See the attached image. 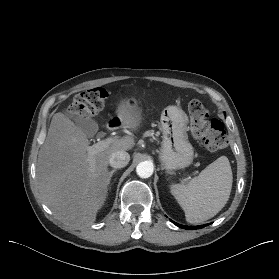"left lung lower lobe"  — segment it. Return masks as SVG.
Here are the masks:
<instances>
[{"label":"left lung lower lobe","instance_id":"obj_1","mask_svg":"<svg viewBox=\"0 0 279 279\" xmlns=\"http://www.w3.org/2000/svg\"><path fill=\"white\" fill-rule=\"evenodd\" d=\"M177 226H179L180 228H183V229H188V230H195V229H199V228H202L204 226H184V225H180L178 223H175Z\"/></svg>","mask_w":279,"mask_h":279}]
</instances>
